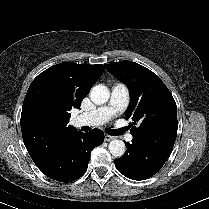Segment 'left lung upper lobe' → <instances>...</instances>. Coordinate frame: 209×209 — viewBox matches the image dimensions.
Segmentation results:
<instances>
[{
    "label": "left lung upper lobe",
    "instance_id": "left-lung-upper-lobe-1",
    "mask_svg": "<svg viewBox=\"0 0 209 209\" xmlns=\"http://www.w3.org/2000/svg\"><path fill=\"white\" fill-rule=\"evenodd\" d=\"M105 68L125 83L131 101L125 113L132 118L134 138L174 145L177 136V107L161 79L144 66L132 61L105 64Z\"/></svg>",
    "mask_w": 209,
    "mask_h": 209
}]
</instances>
